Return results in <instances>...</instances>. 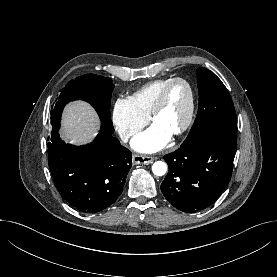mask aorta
Segmentation results:
<instances>
[{"label":"aorta","mask_w":277,"mask_h":277,"mask_svg":"<svg viewBox=\"0 0 277 277\" xmlns=\"http://www.w3.org/2000/svg\"><path fill=\"white\" fill-rule=\"evenodd\" d=\"M167 171V165L163 161H157L152 166V172L157 176H163Z\"/></svg>","instance_id":"1"}]
</instances>
